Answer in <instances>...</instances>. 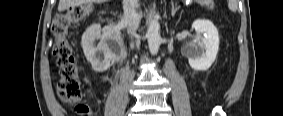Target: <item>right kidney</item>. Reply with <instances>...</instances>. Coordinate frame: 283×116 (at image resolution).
<instances>
[{
  "label": "right kidney",
  "mask_w": 283,
  "mask_h": 116,
  "mask_svg": "<svg viewBox=\"0 0 283 116\" xmlns=\"http://www.w3.org/2000/svg\"><path fill=\"white\" fill-rule=\"evenodd\" d=\"M96 41H99L96 44ZM81 45L87 61L96 72H104L110 67L111 61L117 59L121 40L111 29H101L100 24H93L83 33Z\"/></svg>",
  "instance_id": "obj_1"
}]
</instances>
